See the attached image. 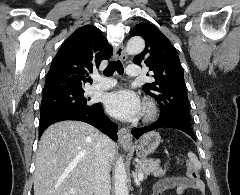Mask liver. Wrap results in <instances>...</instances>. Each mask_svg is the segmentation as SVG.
I'll use <instances>...</instances> for the list:
<instances>
[{"label":"liver","mask_w":240,"mask_h":195,"mask_svg":"<svg viewBox=\"0 0 240 195\" xmlns=\"http://www.w3.org/2000/svg\"><path fill=\"white\" fill-rule=\"evenodd\" d=\"M103 137L85 121H58L45 129L38 145L34 195H93L96 145ZM117 145H108L113 163ZM75 189V193H69Z\"/></svg>","instance_id":"6515ba94"}]
</instances>
